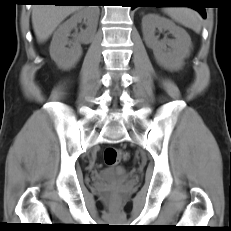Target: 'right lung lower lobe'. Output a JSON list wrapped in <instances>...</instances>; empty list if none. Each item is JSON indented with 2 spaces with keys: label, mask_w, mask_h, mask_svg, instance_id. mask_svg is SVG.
Listing matches in <instances>:
<instances>
[{
  "label": "right lung lower lobe",
  "mask_w": 231,
  "mask_h": 231,
  "mask_svg": "<svg viewBox=\"0 0 231 231\" xmlns=\"http://www.w3.org/2000/svg\"><path fill=\"white\" fill-rule=\"evenodd\" d=\"M31 1L35 3H52L55 5H69L73 3H79L75 1H81V0H31Z\"/></svg>",
  "instance_id": "right-lung-lower-lobe-1"
}]
</instances>
